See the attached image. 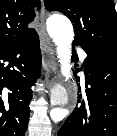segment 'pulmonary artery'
Listing matches in <instances>:
<instances>
[{"mask_svg": "<svg viewBox=\"0 0 117 136\" xmlns=\"http://www.w3.org/2000/svg\"><path fill=\"white\" fill-rule=\"evenodd\" d=\"M79 55H80L81 61L83 62L85 57H86V53L84 51H82V50H79Z\"/></svg>", "mask_w": 117, "mask_h": 136, "instance_id": "pulmonary-artery-1", "label": "pulmonary artery"}]
</instances>
